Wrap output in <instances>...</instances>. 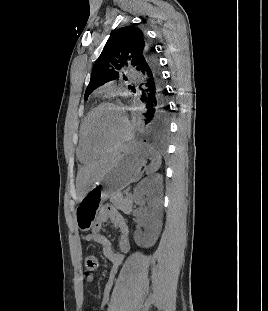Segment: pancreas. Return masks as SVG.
<instances>
[{
    "instance_id": "obj_1",
    "label": "pancreas",
    "mask_w": 268,
    "mask_h": 311,
    "mask_svg": "<svg viewBox=\"0 0 268 311\" xmlns=\"http://www.w3.org/2000/svg\"><path fill=\"white\" fill-rule=\"evenodd\" d=\"M110 202L120 211L125 214H130L133 206V198L131 195L123 196L122 193H117L110 198Z\"/></svg>"
}]
</instances>
